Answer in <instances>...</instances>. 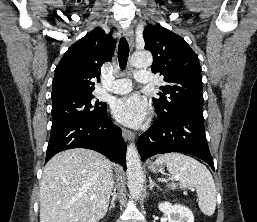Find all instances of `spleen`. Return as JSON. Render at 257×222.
<instances>
[{"label": "spleen", "mask_w": 257, "mask_h": 222, "mask_svg": "<svg viewBox=\"0 0 257 222\" xmlns=\"http://www.w3.org/2000/svg\"><path fill=\"white\" fill-rule=\"evenodd\" d=\"M156 163H165L172 178L179 182L181 189L194 187L197 191L200 210L207 216L213 215L216 208V187L210 171L196 159L181 154L167 153L159 156ZM178 184L172 183V189Z\"/></svg>", "instance_id": "obj_1"}]
</instances>
